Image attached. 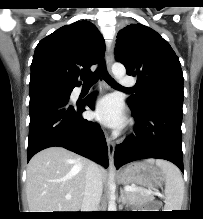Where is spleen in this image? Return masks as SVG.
<instances>
[{"label":"spleen","instance_id":"1","mask_svg":"<svg viewBox=\"0 0 203 219\" xmlns=\"http://www.w3.org/2000/svg\"><path fill=\"white\" fill-rule=\"evenodd\" d=\"M146 162L156 164L163 170L165 181V209L166 211L181 210L184 196V182L180 170L165 160L147 159Z\"/></svg>","mask_w":203,"mask_h":219}]
</instances>
